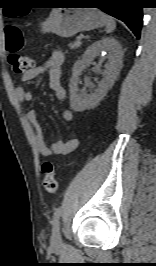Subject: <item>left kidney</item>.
Here are the masks:
<instances>
[{
	"label": "left kidney",
	"instance_id": "5707ae66",
	"mask_svg": "<svg viewBox=\"0 0 156 266\" xmlns=\"http://www.w3.org/2000/svg\"><path fill=\"white\" fill-rule=\"evenodd\" d=\"M102 53H106L108 62L105 65L103 79L97 89L89 95H82L78 90L79 76L87 63ZM123 51L120 43L113 37H103L92 43L85 51L82 59L75 62L70 79V105L76 112L90 109L97 105L113 86L122 66Z\"/></svg>",
	"mask_w": 156,
	"mask_h": 266
}]
</instances>
